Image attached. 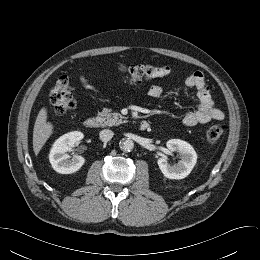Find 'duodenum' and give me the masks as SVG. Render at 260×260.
<instances>
[{
    "instance_id": "410a0bca",
    "label": "duodenum",
    "mask_w": 260,
    "mask_h": 260,
    "mask_svg": "<svg viewBox=\"0 0 260 260\" xmlns=\"http://www.w3.org/2000/svg\"><path fill=\"white\" fill-rule=\"evenodd\" d=\"M101 122L95 117H89L84 121V125L88 129H96L100 126ZM150 127L148 121L143 120L139 123V129L142 131L147 130Z\"/></svg>"
}]
</instances>
